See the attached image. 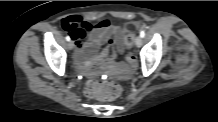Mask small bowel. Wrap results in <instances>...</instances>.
Listing matches in <instances>:
<instances>
[{
	"label": "small bowel",
	"mask_w": 218,
	"mask_h": 122,
	"mask_svg": "<svg viewBox=\"0 0 218 122\" xmlns=\"http://www.w3.org/2000/svg\"><path fill=\"white\" fill-rule=\"evenodd\" d=\"M62 25L71 34L76 43L77 58L80 61L76 63L77 73L78 64H82L86 57L97 55L100 50L106 47L107 38L115 39L116 44L114 48L119 54H122L125 50V39L122 29L111 26L109 19H100L97 24L93 25L79 16H70L63 20Z\"/></svg>",
	"instance_id": "small-bowel-1"
}]
</instances>
